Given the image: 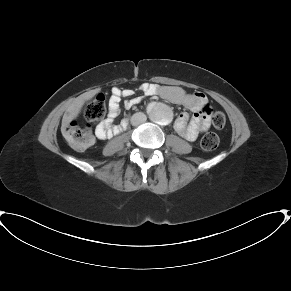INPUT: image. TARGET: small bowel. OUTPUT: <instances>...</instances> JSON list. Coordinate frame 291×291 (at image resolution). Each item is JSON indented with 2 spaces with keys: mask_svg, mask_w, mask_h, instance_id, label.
Returning <instances> with one entry per match:
<instances>
[{
  "mask_svg": "<svg viewBox=\"0 0 291 291\" xmlns=\"http://www.w3.org/2000/svg\"><path fill=\"white\" fill-rule=\"evenodd\" d=\"M140 90L148 96H159L162 99L179 104L193 113L189 121L186 112L180 113L174 121V130L183 138L194 141L210 128V118L207 115L208 105L206 96L202 92L188 93L179 86H161L152 83H143ZM134 92L131 89L114 87L108 102V116L103 122L95 126V134L103 140L121 133L127 126V120L120 124H113L114 119L120 112L121 98H130ZM140 102V98H131L126 102L127 107H132Z\"/></svg>",
  "mask_w": 291,
  "mask_h": 291,
  "instance_id": "small-bowel-1",
  "label": "small bowel"
}]
</instances>
